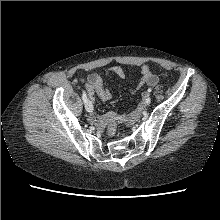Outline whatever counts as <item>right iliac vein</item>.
Wrapping results in <instances>:
<instances>
[{
	"label": "right iliac vein",
	"mask_w": 220,
	"mask_h": 220,
	"mask_svg": "<svg viewBox=\"0 0 220 220\" xmlns=\"http://www.w3.org/2000/svg\"><path fill=\"white\" fill-rule=\"evenodd\" d=\"M85 108L88 112H92L93 111V105L90 101H87V103L85 104Z\"/></svg>",
	"instance_id": "right-iliac-vein-1"
}]
</instances>
